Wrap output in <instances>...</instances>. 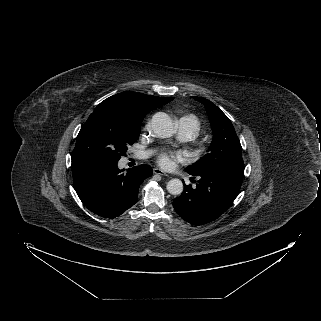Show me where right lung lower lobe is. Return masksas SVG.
<instances>
[{"label":"right lung lower lobe","mask_w":321,"mask_h":321,"mask_svg":"<svg viewBox=\"0 0 321 321\" xmlns=\"http://www.w3.org/2000/svg\"><path fill=\"white\" fill-rule=\"evenodd\" d=\"M122 171L117 163L72 165L74 188L90 211L105 218L121 215L137 202L140 184L153 174L145 164Z\"/></svg>","instance_id":"1"}]
</instances>
